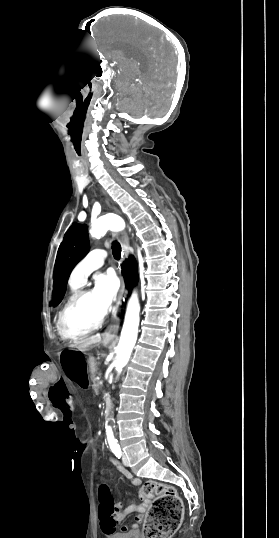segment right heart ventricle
<instances>
[{
  "label": "right heart ventricle",
  "instance_id": "e07e8e85",
  "mask_svg": "<svg viewBox=\"0 0 279 538\" xmlns=\"http://www.w3.org/2000/svg\"><path fill=\"white\" fill-rule=\"evenodd\" d=\"M104 224H105V219H104V216L102 215V213L100 211H97V210H94L91 214V221H90V232L94 235H97L101 232L102 228H105L104 227ZM76 268V267H75ZM74 268V270H75ZM74 270L71 274V277H70V280H69V292H68V295L66 297V299L64 300L59 312H58V315H57V322H56V325H57V329H58V319H59V316H60V313L61 311L63 310V308L66 306V304L73 298V296L80 290V288L83 286L84 283H79V282H75L73 281L72 279V275L74 273Z\"/></svg>",
  "mask_w": 279,
  "mask_h": 538
}]
</instances>
